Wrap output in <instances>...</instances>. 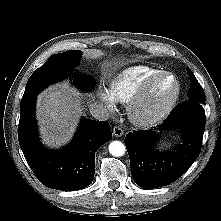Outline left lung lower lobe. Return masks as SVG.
Masks as SVG:
<instances>
[{
    "label": "left lung lower lobe",
    "instance_id": "1",
    "mask_svg": "<svg viewBox=\"0 0 221 221\" xmlns=\"http://www.w3.org/2000/svg\"><path fill=\"white\" fill-rule=\"evenodd\" d=\"M206 123L201 104L179 103L160 127H177L182 132V144L172 152L155 150L156 133L152 130L129 133L124 142L130 158L134 181L143 188H157L173 183L197 159Z\"/></svg>",
    "mask_w": 221,
    "mask_h": 221
}]
</instances>
